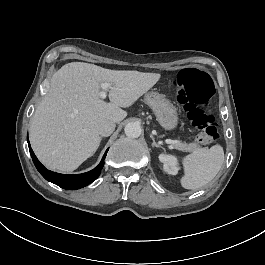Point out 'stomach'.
<instances>
[{"label": "stomach", "instance_id": "obj_1", "mask_svg": "<svg viewBox=\"0 0 265 265\" xmlns=\"http://www.w3.org/2000/svg\"><path fill=\"white\" fill-rule=\"evenodd\" d=\"M144 102L153 110L157 121L166 130L174 129L178 123V114L175 106L158 92H147Z\"/></svg>", "mask_w": 265, "mask_h": 265}]
</instances>
